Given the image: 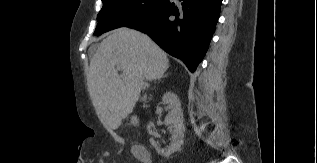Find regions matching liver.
Masks as SVG:
<instances>
[{"label":"liver","mask_w":317,"mask_h":163,"mask_svg":"<svg viewBox=\"0 0 317 163\" xmlns=\"http://www.w3.org/2000/svg\"><path fill=\"white\" fill-rule=\"evenodd\" d=\"M168 68L166 53L147 35L125 27L109 34L97 47L87 76L88 91L103 126L117 129L133 111L145 81L161 78Z\"/></svg>","instance_id":"1"}]
</instances>
